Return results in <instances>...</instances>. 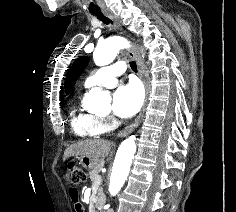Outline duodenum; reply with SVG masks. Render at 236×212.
<instances>
[{
  "mask_svg": "<svg viewBox=\"0 0 236 212\" xmlns=\"http://www.w3.org/2000/svg\"><path fill=\"white\" fill-rule=\"evenodd\" d=\"M97 212H105L104 208H99Z\"/></svg>",
  "mask_w": 236,
  "mask_h": 212,
  "instance_id": "obj_1",
  "label": "duodenum"
}]
</instances>
